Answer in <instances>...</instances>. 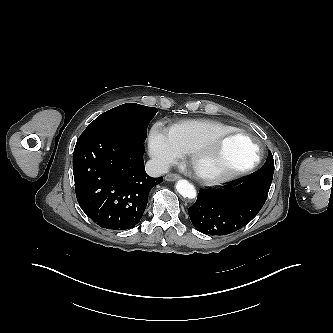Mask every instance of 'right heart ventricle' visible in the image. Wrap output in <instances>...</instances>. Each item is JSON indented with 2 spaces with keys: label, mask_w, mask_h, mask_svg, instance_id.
Listing matches in <instances>:
<instances>
[{
  "label": "right heart ventricle",
  "mask_w": 333,
  "mask_h": 333,
  "mask_svg": "<svg viewBox=\"0 0 333 333\" xmlns=\"http://www.w3.org/2000/svg\"><path fill=\"white\" fill-rule=\"evenodd\" d=\"M234 129L210 119H188L175 123L170 130L185 153H190L214 136Z\"/></svg>",
  "instance_id": "obj_1"
}]
</instances>
